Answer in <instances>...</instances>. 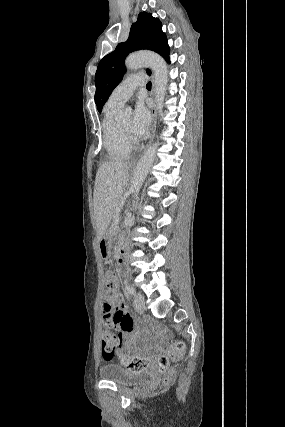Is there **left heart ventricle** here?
I'll return each mask as SVG.
<instances>
[{"label":"left heart ventricle","instance_id":"1","mask_svg":"<svg viewBox=\"0 0 285 427\" xmlns=\"http://www.w3.org/2000/svg\"><path fill=\"white\" fill-rule=\"evenodd\" d=\"M122 126L129 132H132L133 129V120L131 116L125 117L120 122Z\"/></svg>","mask_w":285,"mask_h":427}]
</instances>
